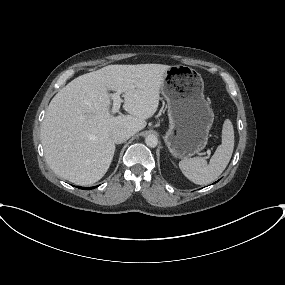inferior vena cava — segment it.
I'll return each instance as SVG.
<instances>
[{
  "label": "inferior vena cava",
  "instance_id": "inferior-vena-cava-1",
  "mask_svg": "<svg viewBox=\"0 0 285 285\" xmlns=\"http://www.w3.org/2000/svg\"><path fill=\"white\" fill-rule=\"evenodd\" d=\"M131 134L125 129H115L111 132V139L116 144H121L129 139Z\"/></svg>",
  "mask_w": 285,
  "mask_h": 285
}]
</instances>
